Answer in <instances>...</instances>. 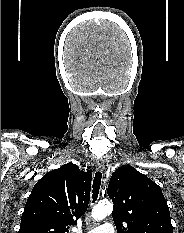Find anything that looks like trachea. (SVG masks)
Segmentation results:
<instances>
[{
    "label": "trachea",
    "instance_id": "trachea-1",
    "mask_svg": "<svg viewBox=\"0 0 184 233\" xmlns=\"http://www.w3.org/2000/svg\"><path fill=\"white\" fill-rule=\"evenodd\" d=\"M101 178H102V173L101 172H96L94 180H93V185H92V199L95 201L98 197L99 194V189L101 185Z\"/></svg>",
    "mask_w": 184,
    "mask_h": 233
}]
</instances>
